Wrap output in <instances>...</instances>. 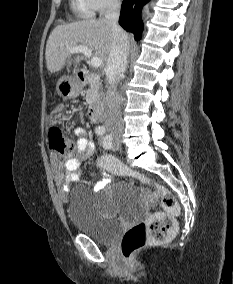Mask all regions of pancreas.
Returning a JSON list of instances; mask_svg holds the SVG:
<instances>
[{"mask_svg":"<svg viewBox=\"0 0 233 284\" xmlns=\"http://www.w3.org/2000/svg\"><path fill=\"white\" fill-rule=\"evenodd\" d=\"M88 83L89 89L86 91V101L90 106L99 105L104 99V94L99 91L95 76H91Z\"/></svg>","mask_w":233,"mask_h":284,"instance_id":"1","label":"pancreas"}]
</instances>
